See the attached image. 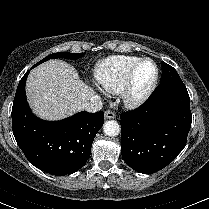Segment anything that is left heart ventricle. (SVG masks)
Instances as JSON below:
<instances>
[{"mask_svg":"<svg viewBox=\"0 0 209 209\" xmlns=\"http://www.w3.org/2000/svg\"><path fill=\"white\" fill-rule=\"evenodd\" d=\"M155 67L151 62H143L137 69L134 77V90L137 93L144 91L153 81Z\"/></svg>","mask_w":209,"mask_h":209,"instance_id":"left-heart-ventricle-1","label":"left heart ventricle"}]
</instances>
